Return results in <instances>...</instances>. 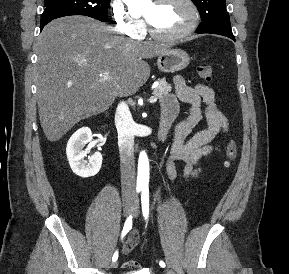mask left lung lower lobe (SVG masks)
<instances>
[{
    "mask_svg": "<svg viewBox=\"0 0 289 274\" xmlns=\"http://www.w3.org/2000/svg\"><path fill=\"white\" fill-rule=\"evenodd\" d=\"M224 36L229 37V38H231L232 40L235 41V38H234L233 34H226V35H224Z\"/></svg>",
    "mask_w": 289,
    "mask_h": 274,
    "instance_id": "0a47b994",
    "label": "left lung lower lobe"
}]
</instances>
